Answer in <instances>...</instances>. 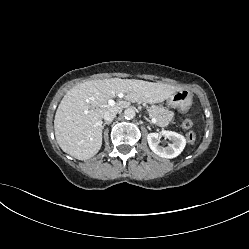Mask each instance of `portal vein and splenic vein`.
Segmentation results:
<instances>
[{"label": "portal vein and splenic vein", "instance_id": "obj_1", "mask_svg": "<svg viewBox=\"0 0 249 249\" xmlns=\"http://www.w3.org/2000/svg\"><path fill=\"white\" fill-rule=\"evenodd\" d=\"M118 96H119L120 98H122V97H123V94L120 93ZM114 104H115V101H114L113 99H109V100H108V105H109V106H113ZM84 113L87 114L88 111L85 110ZM150 118H151V122H152V123H154V124L157 123V120H156L155 118H153V117H150Z\"/></svg>", "mask_w": 249, "mask_h": 249}]
</instances>
